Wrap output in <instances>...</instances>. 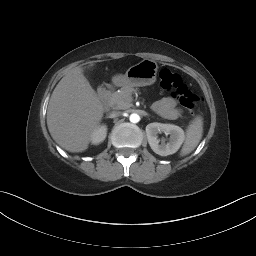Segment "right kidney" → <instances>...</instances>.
<instances>
[{
    "instance_id": "right-kidney-1",
    "label": "right kidney",
    "mask_w": 256,
    "mask_h": 256,
    "mask_svg": "<svg viewBox=\"0 0 256 256\" xmlns=\"http://www.w3.org/2000/svg\"><path fill=\"white\" fill-rule=\"evenodd\" d=\"M107 134V127L105 125L99 126L97 129L94 130L91 136L92 144H99L104 141Z\"/></svg>"
}]
</instances>
